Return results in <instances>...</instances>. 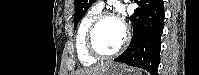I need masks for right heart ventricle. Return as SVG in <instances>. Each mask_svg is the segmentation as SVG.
<instances>
[{
  "label": "right heart ventricle",
  "instance_id": "obj_1",
  "mask_svg": "<svg viewBox=\"0 0 199 75\" xmlns=\"http://www.w3.org/2000/svg\"><path fill=\"white\" fill-rule=\"evenodd\" d=\"M99 13H101L100 8H98L96 6L90 8L82 17V19L79 23V26H78L77 33H76L75 42H76L77 56H78V59L81 62V64H83L85 66L93 65L98 60V59L92 57L88 53L86 46H85V34H86V31H87L89 25L91 24L93 19Z\"/></svg>",
  "mask_w": 199,
  "mask_h": 75
}]
</instances>
